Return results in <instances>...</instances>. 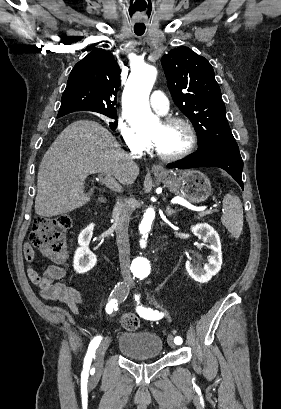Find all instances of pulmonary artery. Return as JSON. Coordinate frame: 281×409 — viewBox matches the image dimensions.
Here are the masks:
<instances>
[{
	"label": "pulmonary artery",
	"mask_w": 281,
	"mask_h": 409,
	"mask_svg": "<svg viewBox=\"0 0 281 409\" xmlns=\"http://www.w3.org/2000/svg\"><path fill=\"white\" fill-rule=\"evenodd\" d=\"M148 106H153L154 111L160 113H165L166 106L168 105V98L165 97L164 90H153L152 97H148L147 101Z\"/></svg>",
	"instance_id": "obj_1"
}]
</instances>
